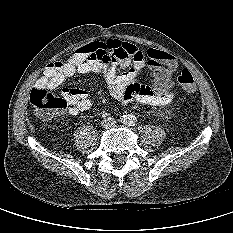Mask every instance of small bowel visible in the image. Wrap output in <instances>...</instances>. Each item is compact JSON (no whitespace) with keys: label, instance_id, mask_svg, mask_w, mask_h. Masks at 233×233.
Returning <instances> with one entry per match:
<instances>
[{"label":"small bowel","instance_id":"c3829d8e","mask_svg":"<svg viewBox=\"0 0 233 233\" xmlns=\"http://www.w3.org/2000/svg\"><path fill=\"white\" fill-rule=\"evenodd\" d=\"M120 66L126 70L117 72ZM147 66L154 72L153 85L136 81L139 72ZM177 61L171 54L157 49L141 50L137 46L116 39L92 42L79 48L68 60L49 64L36 88L54 90L76 73L96 74L108 85L109 93L116 100L127 104L135 100L142 106H162L175 98L173 74ZM70 115L91 108L89 93L82 89H61Z\"/></svg>","mask_w":233,"mask_h":233}]
</instances>
